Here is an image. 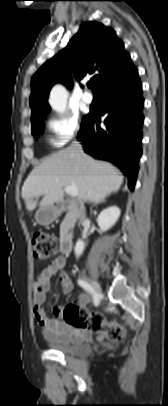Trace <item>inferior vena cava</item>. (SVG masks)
Wrapping results in <instances>:
<instances>
[{"mask_svg": "<svg viewBox=\"0 0 168 406\" xmlns=\"http://www.w3.org/2000/svg\"><path fill=\"white\" fill-rule=\"evenodd\" d=\"M70 148L73 151H75L77 154H82L83 153L82 146L77 141L72 142ZM84 218H85V214H83V216L81 217V222L84 220Z\"/></svg>", "mask_w": 168, "mask_h": 406, "instance_id": "602c4592", "label": "inferior vena cava"}]
</instances>
